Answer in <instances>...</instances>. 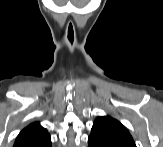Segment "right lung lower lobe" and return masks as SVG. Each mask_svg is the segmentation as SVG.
Masks as SVG:
<instances>
[{"label": "right lung lower lobe", "instance_id": "obj_1", "mask_svg": "<svg viewBox=\"0 0 163 147\" xmlns=\"http://www.w3.org/2000/svg\"><path fill=\"white\" fill-rule=\"evenodd\" d=\"M14 147H51L50 136L15 141Z\"/></svg>", "mask_w": 163, "mask_h": 147}]
</instances>
